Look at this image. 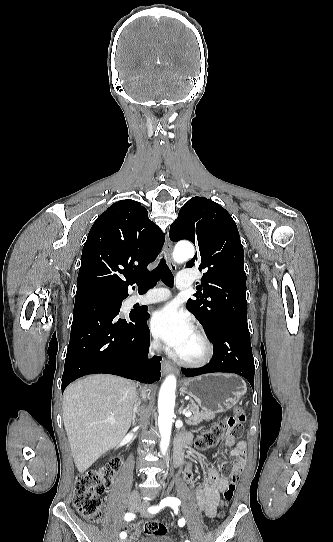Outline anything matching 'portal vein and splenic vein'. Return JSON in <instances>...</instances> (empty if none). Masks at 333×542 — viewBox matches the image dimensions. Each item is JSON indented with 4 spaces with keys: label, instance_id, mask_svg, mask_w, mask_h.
<instances>
[{
    "label": "portal vein and splenic vein",
    "instance_id": "18ae733b",
    "mask_svg": "<svg viewBox=\"0 0 333 542\" xmlns=\"http://www.w3.org/2000/svg\"><path fill=\"white\" fill-rule=\"evenodd\" d=\"M183 414L184 416H186V418H190V416H192V412H189V410H185ZM111 424H115V422H111Z\"/></svg>",
    "mask_w": 333,
    "mask_h": 542
}]
</instances>
